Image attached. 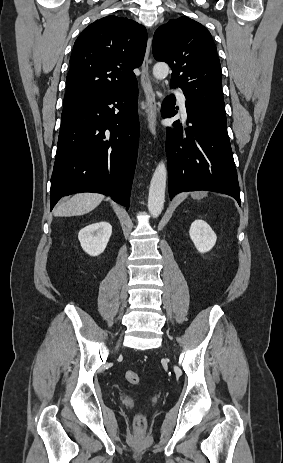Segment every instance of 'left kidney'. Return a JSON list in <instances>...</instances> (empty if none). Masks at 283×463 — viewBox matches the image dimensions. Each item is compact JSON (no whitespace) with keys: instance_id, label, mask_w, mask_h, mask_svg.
Masks as SVG:
<instances>
[{"instance_id":"left-kidney-1","label":"left kidney","mask_w":283,"mask_h":463,"mask_svg":"<svg viewBox=\"0 0 283 463\" xmlns=\"http://www.w3.org/2000/svg\"><path fill=\"white\" fill-rule=\"evenodd\" d=\"M189 235L200 253L210 251L217 240V236L212 228L204 220L200 219L195 220L191 224Z\"/></svg>"}]
</instances>
